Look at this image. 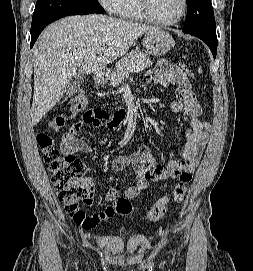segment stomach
Masks as SVG:
<instances>
[{"label": "stomach", "instance_id": "0dacf381", "mask_svg": "<svg viewBox=\"0 0 253 271\" xmlns=\"http://www.w3.org/2000/svg\"><path fill=\"white\" fill-rule=\"evenodd\" d=\"M143 43L146 51L155 56L166 54L174 46L172 36L161 29L147 32L143 39ZM106 80H110V78H107Z\"/></svg>", "mask_w": 253, "mask_h": 271}]
</instances>
